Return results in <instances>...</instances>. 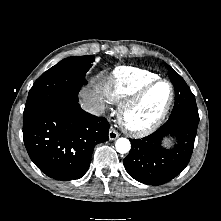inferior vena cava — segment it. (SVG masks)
Returning a JSON list of instances; mask_svg holds the SVG:
<instances>
[{
  "label": "inferior vena cava",
  "mask_w": 221,
  "mask_h": 221,
  "mask_svg": "<svg viewBox=\"0 0 221 221\" xmlns=\"http://www.w3.org/2000/svg\"><path fill=\"white\" fill-rule=\"evenodd\" d=\"M85 110L92 115L101 116L103 114L104 107L102 105H95L89 106L85 108Z\"/></svg>",
  "instance_id": "inferior-vena-cava-1"
}]
</instances>
